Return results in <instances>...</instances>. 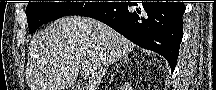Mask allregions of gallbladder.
<instances>
[{
	"label": "gallbladder",
	"mask_w": 216,
	"mask_h": 90,
	"mask_svg": "<svg viewBox=\"0 0 216 90\" xmlns=\"http://www.w3.org/2000/svg\"><path fill=\"white\" fill-rule=\"evenodd\" d=\"M84 86H80V88H78V90H83Z\"/></svg>",
	"instance_id": "obj_1"
}]
</instances>
